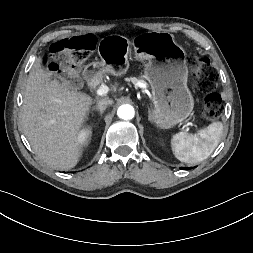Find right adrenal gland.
Returning <instances> with one entry per match:
<instances>
[{"instance_id":"2a0ac1e0","label":"right adrenal gland","mask_w":253,"mask_h":253,"mask_svg":"<svg viewBox=\"0 0 253 253\" xmlns=\"http://www.w3.org/2000/svg\"><path fill=\"white\" fill-rule=\"evenodd\" d=\"M106 107H99V106H96V107H93L92 108V111H99L100 115L102 116V114L104 113Z\"/></svg>"}]
</instances>
